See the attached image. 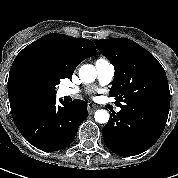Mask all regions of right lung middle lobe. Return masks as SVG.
Listing matches in <instances>:
<instances>
[{
  "label": "right lung middle lobe",
  "mask_w": 178,
  "mask_h": 178,
  "mask_svg": "<svg viewBox=\"0 0 178 178\" xmlns=\"http://www.w3.org/2000/svg\"><path fill=\"white\" fill-rule=\"evenodd\" d=\"M37 65H28L20 73V88L25 98H48L56 96V86L63 79Z\"/></svg>",
  "instance_id": "dd1d6c3e"
}]
</instances>
